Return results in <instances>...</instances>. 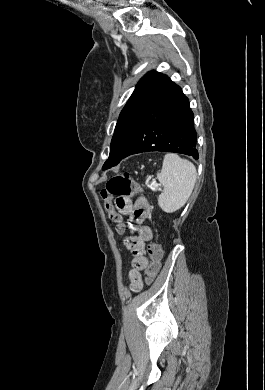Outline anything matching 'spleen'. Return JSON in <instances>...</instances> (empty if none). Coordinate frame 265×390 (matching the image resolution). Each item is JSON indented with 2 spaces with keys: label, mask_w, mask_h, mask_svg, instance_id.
Segmentation results:
<instances>
[{
  "label": "spleen",
  "mask_w": 265,
  "mask_h": 390,
  "mask_svg": "<svg viewBox=\"0 0 265 390\" xmlns=\"http://www.w3.org/2000/svg\"><path fill=\"white\" fill-rule=\"evenodd\" d=\"M164 190L158 197V205L172 213L185 205L194 188L197 172L194 164L176 154L164 156L162 170L157 173Z\"/></svg>",
  "instance_id": "1"
}]
</instances>
